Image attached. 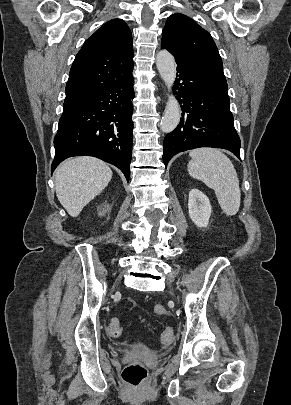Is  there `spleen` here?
<instances>
[{"mask_svg": "<svg viewBox=\"0 0 291 405\" xmlns=\"http://www.w3.org/2000/svg\"><path fill=\"white\" fill-rule=\"evenodd\" d=\"M189 174L215 191L221 209L229 216L240 207L239 179L231 160L220 150L200 148L190 152Z\"/></svg>", "mask_w": 291, "mask_h": 405, "instance_id": "3e777b00", "label": "spleen"}]
</instances>
